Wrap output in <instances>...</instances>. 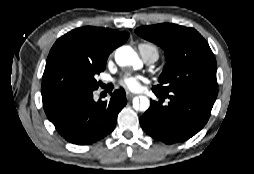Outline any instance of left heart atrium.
<instances>
[{
  "mask_svg": "<svg viewBox=\"0 0 254 174\" xmlns=\"http://www.w3.org/2000/svg\"><path fill=\"white\" fill-rule=\"evenodd\" d=\"M144 82L145 78L143 76L131 74H126L119 80V84L123 88L132 92L141 90Z\"/></svg>",
  "mask_w": 254,
  "mask_h": 174,
  "instance_id": "39dd6f15",
  "label": "left heart atrium"
}]
</instances>
